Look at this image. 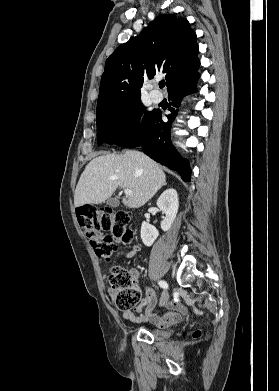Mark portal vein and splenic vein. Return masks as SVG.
Masks as SVG:
<instances>
[{
	"label": "portal vein and splenic vein",
	"instance_id": "1",
	"mask_svg": "<svg viewBox=\"0 0 279 391\" xmlns=\"http://www.w3.org/2000/svg\"><path fill=\"white\" fill-rule=\"evenodd\" d=\"M124 193H125L126 195H132V194H133L132 191H131L130 189H124Z\"/></svg>",
	"mask_w": 279,
	"mask_h": 391
}]
</instances>
